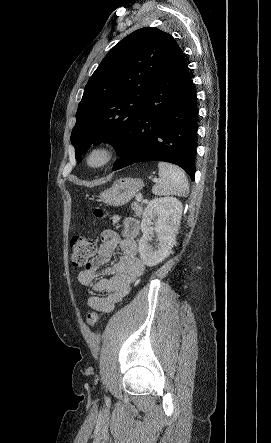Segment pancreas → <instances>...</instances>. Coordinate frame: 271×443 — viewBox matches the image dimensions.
<instances>
[{
	"label": "pancreas",
	"mask_w": 271,
	"mask_h": 443,
	"mask_svg": "<svg viewBox=\"0 0 271 443\" xmlns=\"http://www.w3.org/2000/svg\"><path fill=\"white\" fill-rule=\"evenodd\" d=\"M133 208L132 210H134V214H136V216H142L143 214V210H142V206H140V204H138V202H133L132 204Z\"/></svg>",
	"instance_id": "obj_1"
}]
</instances>
